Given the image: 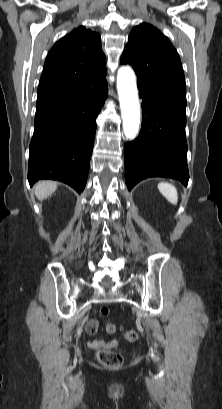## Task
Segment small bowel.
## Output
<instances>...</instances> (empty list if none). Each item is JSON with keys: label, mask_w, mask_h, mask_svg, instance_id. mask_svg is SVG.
Segmentation results:
<instances>
[{"label": "small bowel", "mask_w": 222, "mask_h": 409, "mask_svg": "<svg viewBox=\"0 0 222 409\" xmlns=\"http://www.w3.org/2000/svg\"><path fill=\"white\" fill-rule=\"evenodd\" d=\"M98 330V322L96 320H90L87 324V333L88 334H95ZM118 345L117 341L113 340L110 342H106L100 339H92L89 341V346L94 349L98 348H111L116 347Z\"/></svg>", "instance_id": "obj_1"}]
</instances>
